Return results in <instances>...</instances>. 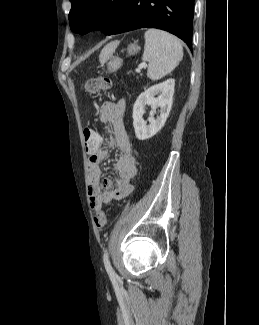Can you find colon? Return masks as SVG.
<instances>
[{
	"label": "colon",
	"mask_w": 259,
	"mask_h": 325,
	"mask_svg": "<svg viewBox=\"0 0 259 325\" xmlns=\"http://www.w3.org/2000/svg\"><path fill=\"white\" fill-rule=\"evenodd\" d=\"M111 86V81L106 77L92 78L87 81L85 88L90 94H97L107 91ZM85 148L86 149H100L102 144V136L99 135L98 130L86 128L84 130ZM94 225L98 229L105 227L107 218L103 211H98L93 216Z\"/></svg>",
	"instance_id": "obj_1"
}]
</instances>
